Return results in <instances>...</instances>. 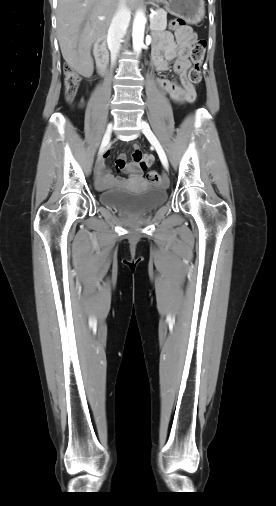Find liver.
Wrapping results in <instances>:
<instances>
[{
	"mask_svg": "<svg viewBox=\"0 0 276 506\" xmlns=\"http://www.w3.org/2000/svg\"><path fill=\"white\" fill-rule=\"evenodd\" d=\"M130 11L139 0H125ZM163 2L164 0H155ZM120 0H58L57 37L68 66L82 75H91L93 43L106 35ZM99 17H104L100 20Z\"/></svg>",
	"mask_w": 276,
	"mask_h": 506,
	"instance_id": "1",
	"label": "liver"
}]
</instances>
